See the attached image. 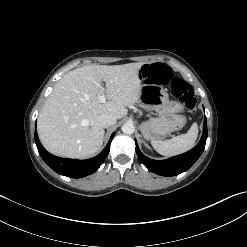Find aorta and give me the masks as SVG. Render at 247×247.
<instances>
[{
	"label": "aorta",
	"mask_w": 247,
	"mask_h": 247,
	"mask_svg": "<svg viewBox=\"0 0 247 247\" xmlns=\"http://www.w3.org/2000/svg\"><path fill=\"white\" fill-rule=\"evenodd\" d=\"M134 130V125L132 123H125L122 126V132L124 134H133Z\"/></svg>",
	"instance_id": "aorta-1"
}]
</instances>
